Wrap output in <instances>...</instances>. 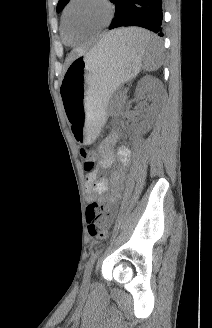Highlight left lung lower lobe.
Returning <instances> with one entry per match:
<instances>
[{"label":"left lung lower lobe","instance_id":"0a47b994","mask_svg":"<svg viewBox=\"0 0 212 328\" xmlns=\"http://www.w3.org/2000/svg\"><path fill=\"white\" fill-rule=\"evenodd\" d=\"M115 4V17L108 29L123 26H139L149 29L163 37L162 0H110ZM158 38V37H157ZM160 40L146 44L156 46Z\"/></svg>","mask_w":212,"mask_h":328}]
</instances>
